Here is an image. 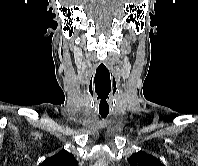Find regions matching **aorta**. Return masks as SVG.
Here are the masks:
<instances>
[{
	"mask_svg": "<svg viewBox=\"0 0 198 166\" xmlns=\"http://www.w3.org/2000/svg\"><path fill=\"white\" fill-rule=\"evenodd\" d=\"M94 166H107V164L104 161H98Z\"/></svg>",
	"mask_w": 198,
	"mask_h": 166,
	"instance_id": "aorta-1",
	"label": "aorta"
}]
</instances>
